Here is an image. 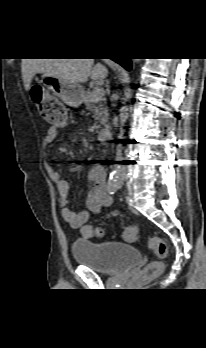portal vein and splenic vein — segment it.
Returning a JSON list of instances; mask_svg holds the SVG:
<instances>
[{
    "instance_id": "18ae733b",
    "label": "portal vein and splenic vein",
    "mask_w": 206,
    "mask_h": 348,
    "mask_svg": "<svg viewBox=\"0 0 206 348\" xmlns=\"http://www.w3.org/2000/svg\"><path fill=\"white\" fill-rule=\"evenodd\" d=\"M104 96V89L100 87H95L92 90V97L93 100L97 101L100 100Z\"/></svg>"
}]
</instances>
